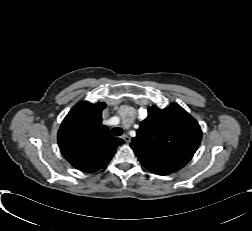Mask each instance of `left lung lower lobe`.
Instances as JSON below:
<instances>
[{"label": "left lung lower lobe", "mask_w": 252, "mask_h": 231, "mask_svg": "<svg viewBox=\"0 0 252 231\" xmlns=\"http://www.w3.org/2000/svg\"><path fill=\"white\" fill-rule=\"evenodd\" d=\"M146 169L149 171L158 174V175H167L171 174L179 169H181L184 165L178 163H152V162H142L141 163Z\"/></svg>", "instance_id": "0a47b994"}]
</instances>
